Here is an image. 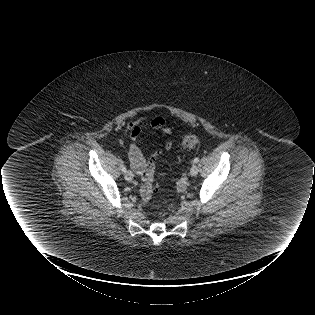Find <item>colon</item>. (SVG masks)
<instances>
[{"label": "colon", "instance_id": "colon-1", "mask_svg": "<svg viewBox=\"0 0 315 315\" xmlns=\"http://www.w3.org/2000/svg\"><path fill=\"white\" fill-rule=\"evenodd\" d=\"M199 142V138L196 135H187L182 140V145L185 148H192ZM154 173H155V162L153 159L149 160L142 168L140 172L141 187L140 196L143 201L148 202L151 200L154 193Z\"/></svg>", "mask_w": 315, "mask_h": 315}]
</instances>
